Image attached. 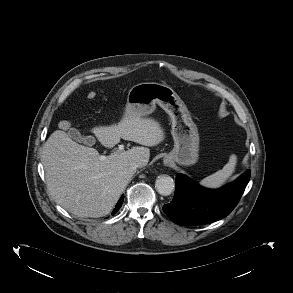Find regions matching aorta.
Here are the masks:
<instances>
[{
	"label": "aorta",
	"mask_w": 293,
	"mask_h": 293,
	"mask_svg": "<svg viewBox=\"0 0 293 293\" xmlns=\"http://www.w3.org/2000/svg\"><path fill=\"white\" fill-rule=\"evenodd\" d=\"M155 188L159 194L168 196L174 191L175 183L172 177L168 175H160L155 181Z\"/></svg>",
	"instance_id": "1"
}]
</instances>
